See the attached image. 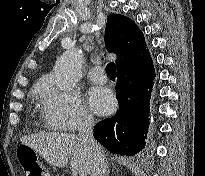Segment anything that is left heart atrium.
<instances>
[{
	"label": "left heart atrium",
	"instance_id": "obj_1",
	"mask_svg": "<svg viewBox=\"0 0 205 176\" xmlns=\"http://www.w3.org/2000/svg\"><path fill=\"white\" fill-rule=\"evenodd\" d=\"M88 98L92 110L97 114H107L113 110L115 106L113 94L105 88H92Z\"/></svg>",
	"mask_w": 205,
	"mask_h": 176
}]
</instances>
